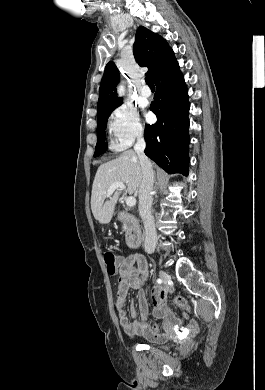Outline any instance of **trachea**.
Returning a JSON list of instances; mask_svg holds the SVG:
<instances>
[{"instance_id":"3493384b","label":"trachea","mask_w":265,"mask_h":390,"mask_svg":"<svg viewBox=\"0 0 265 390\" xmlns=\"http://www.w3.org/2000/svg\"><path fill=\"white\" fill-rule=\"evenodd\" d=\"M145 81H146V84H147L149 87H154L153 80H152V78H151L150 76H146Z\"/></svg>"}]
</instances>
